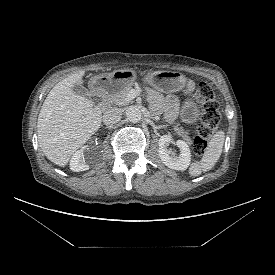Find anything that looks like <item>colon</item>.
<instances>
[{
  "mask_svg": "<svg viewBox=\"0 0 275 275\" xmlns=\"http://www.w3.org/2000/svg\"><path fill=\"white\" fill-rule=\"evenodd\" d=\"M196 101L200 108L201 124L194 139V151L203 155L207 149L208 141L216 132L220 122L219 103L211 86L201 82L197 89Z\"/></svg>",
  "mask_w": 275,
  "mask_h": 275,
  "instance_id": "1",
  "label": "colon"
}]
</instances>
